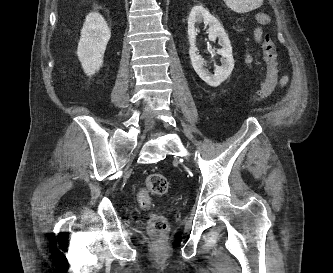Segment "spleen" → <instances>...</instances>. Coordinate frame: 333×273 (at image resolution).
Segmentation results:
<instances>
[{"instance_id": "spleen-1", "label": "spleen", "mask_w": 333, "mask_h": 273, "mask_svg": "<svg viewBox=\"0 0 333 273\" xmlns=\"http://www.w3.org/2000/svg\"><path fill=\"white\" fill-rule=\"evenodd\" d=\"M264 0H224L226 5L236 13H246L259 8Z\"/></svg>"}]
</instances>
